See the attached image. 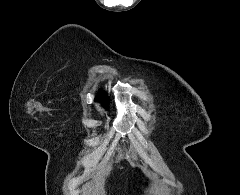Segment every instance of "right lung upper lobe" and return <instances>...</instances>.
I'll return each instance as SVG.
<instances>
[{"label":"right lung upper lobe","mask_w":240,"mask_h":195,"mask_svg":"<svg viewBox=\"0 0 240 195\" xmlns=\"http://www.w3.org/2000/svg\"><path fill=\"white\" fill-rule=\"evenodd\" d=\"M96 101L105 102L106 101V94L103 91H100L96 97Z\"/></svg>","instance_id":"cb5924a9"}]
</instances>
